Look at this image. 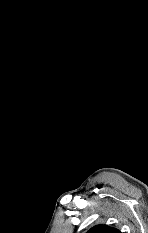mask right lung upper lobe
Instances as JSON below:
<instances>
[{
  "label": "right lung upper lobe",
  "instance_id": "cb5924a9",
  "mask_svg": "<svg viewBox=\"0 0 148 233\" xmlns=\"http://www.w3.org/2000/svg\"><path fill=\"white\" fill-rule=\"evenodd\" d=\"M87 233H121L119 230L106 226V225H96L91 228Z\"/></svg>",
  "mask_w": 148,
  "mask_h": 233
}]
</instances>
